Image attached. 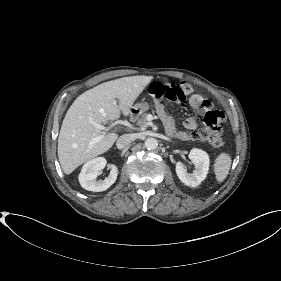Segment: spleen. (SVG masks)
Masks as SVG:
<instances>
[{
  "label": "spleen",
  "instance_id": "1",
  "mask_svg": "<svg viewBox=\"0 0 281 281\" xmlns=\"http://www.w3.org/2000/svg\"><path fill=\"white\" fill-rule=\"evenodd\" d=\"M231 157L227 153H221L214 162V173L218 182H223L231 167Z\"/></svg>",
  "mask_w": 281,
  "mask_h": 281
}]
</instances>
